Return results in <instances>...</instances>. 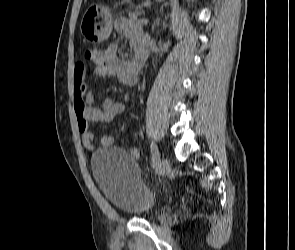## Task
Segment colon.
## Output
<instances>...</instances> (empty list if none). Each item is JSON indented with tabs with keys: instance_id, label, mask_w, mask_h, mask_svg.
<instances>
[{
	"instance_id": "5ec220e1",
	"label": "colon",
	"mask_w": 295,
	"mask_h": 250,
	"mask_svg": "<svg viewBox=\"0 0 295 250\" xmlns=\"http://www.w3.org/2000/svg\"><path fill=\"white\" fill-rule=\"evenodd\" d=\"M92 53H93V49H90V48L85 49L84 51L85 58L90 59L92 56Z\"/></svg>"
}]
</instances>
